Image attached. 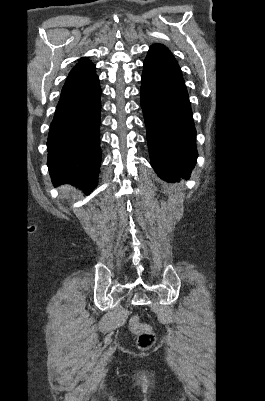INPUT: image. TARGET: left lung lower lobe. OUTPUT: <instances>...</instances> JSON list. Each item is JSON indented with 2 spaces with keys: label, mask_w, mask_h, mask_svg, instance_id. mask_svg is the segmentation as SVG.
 I'll list each match as a JSON object with an SVG mask.
<instances>
[{
  "label": "left lung lower lobe",
  "mask_w": 265,
  "mask_h": 401,
  "mask_svg": "<svg viewBox=\"0 0 265 401\" xmlns=\"http://www.w3.org/2000/svg\"><path fill=\"white\" fill-rule=\"evenodd\" d=\"M140 93L153 168L164 180L187 176L197 158L196 129L179 65L146 57Z\"/></svg>",
  "instance_id": "1"
}]
</instances>
